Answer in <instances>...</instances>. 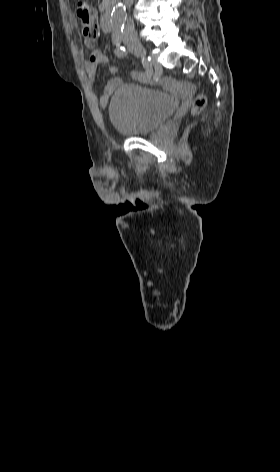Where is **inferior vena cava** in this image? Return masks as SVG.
Wrapping results in <instances>:
<instances>
[{
    "mask_svg": "<svg viewBox=\"0 0 280 472\" xmlns=\"http://www.w3.org/2000/svg\"><path fill=\"white\" fill-rule=\"evenodd\" d=\"M124 3H125V5L127 6V8L130 9V7H131V5H132V3H133V0H124ZM127 25H128V29H129L131 32H133V31H134V23H133V21H132L131 18L129 19Z\"/></svg>",
    "mask_w": 280,
    "mask_h": 472,
    "instance_id": "inferior-vena-cava-1",
    "label": "inferior vena cava"
}]
</instances>
